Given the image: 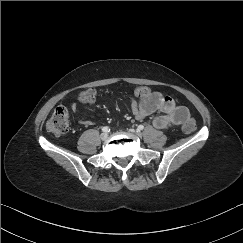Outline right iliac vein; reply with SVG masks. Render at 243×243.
<instances>
[{"mask_svg": "<svg viewBox=\"0 0 243 243\" xmlns=\"http://www.w3.org/2000/svg\"><path fill=\"white\" fill-rule=\"evenodd\" d=\"M100 138H101L102 140H106V139L108 138V134H107V133H102V134L100 135Z\"/></svg>", "mask_w": 243, "mask_h": 243, "instance_id": "1", "label": "right iliac vein"}]
</instances>
